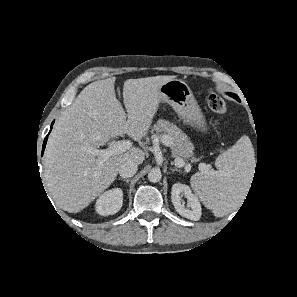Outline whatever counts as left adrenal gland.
Masks as SVG:
<instances>
[{
  "label": "left adrenal gland",
  "mask_w": 297,
  "mask_h": 297,
  "mask_svg": "<svg viewBox=\"0 0 297 297\" xmlns=\"http://www.w3.org/2000/svg\"><path fill=\"white\" fill-rule=\"evenodd\" d=\"M170 170H171L172 172H174V171H180V169H178V168H170Z\"/></svg>",
  "instance_id": "a2214340"
}]
</instances>
